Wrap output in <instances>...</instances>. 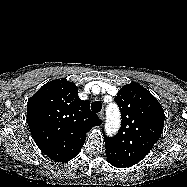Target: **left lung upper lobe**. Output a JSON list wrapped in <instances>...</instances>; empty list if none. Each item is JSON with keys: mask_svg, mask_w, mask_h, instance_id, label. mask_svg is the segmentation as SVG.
Listing matches in <instances>:
<instances>
[{"mask_svg": "<svg viewBox=\"0 0 187 187\" xmlns=\"http://www.w3.org/2000/svg\"><path fill=\"white\" fill-rule=\"evenodd\" d=\"M115 100L121 110V128L114 137L103 132L105 147L137 163L163 131V108L147 89L135 82L123 86Z\"/></svg>", "mask_w": 187, "mask_h": 187, "instance_id": "5c2ea615", "label": "left lung upper lobe"}]
</instances>
